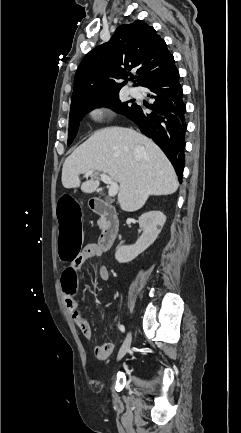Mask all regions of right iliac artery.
<instances>
[{
    "label": "right iliac artery",
    "instance_id": "1",
    "mask_svg": "<svg viewBox=\"0 0 241 433\" xmlns=\"http://www.w3.org/2000/svg\"><path fill=\"white\" fill-rule=\"evenodd\" d=\"M119 329H120L122 332H125V327H124L123 325H120V326H119Z\"/></svg>",
    "mask_w": 241,
    "mask_h": 433
}]
</instances>
